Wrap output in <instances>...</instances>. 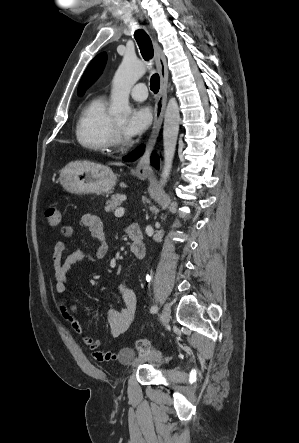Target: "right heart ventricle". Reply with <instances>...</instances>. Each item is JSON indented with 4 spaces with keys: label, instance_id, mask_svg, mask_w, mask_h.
Instances as JSON below:
<instances>
[{
    "label": "right heart ventricle",
    "instance_id": "obj_1",
    "mask_svg": "<svg viewBox=\"0 0 299 443\" xmlns=\"http://www.w3.org/2000/svg\"><path fill=\"white\" fill-rule=\"evenodd\" d=\"M113 119L107 112L106 100L96 97L82 109L76 123V139L85 149L109 152Z\"/></svg>",
    "mask_w": 299,
    "mask_h": 443
}]
</instances>
